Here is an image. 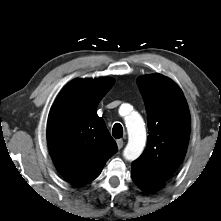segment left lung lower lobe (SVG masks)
Here are the masks:
<instances>
[{
  "instance_id": "left-lung-lower-lobe-1",
  "label": "left lung lower lobe",
  "mask_w": 221,
  "mask_h": 221,
  "mask_svg": "<svg viewBox=\"0 0 221 221\" xmlns=\"http://www.w3.org/2000/svg\"><path fill=\"white\" fill-rule=\"evenodd\" d=\"M132 179L146 193H153L164 187L165 181L147 173L142 167L132 163Z\"/></svg>"
}]
</instances>
